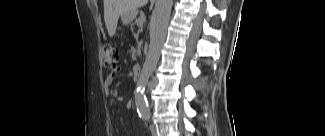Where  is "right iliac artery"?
I'll use <instances>...</instances> for the list:
<instances>
[{
	"instance_id": "82829eb1",
	"label": "right iliac artery",
	"mask_w": 325,
	"mask_h": 136,
	"mask_svg": "<svg viewBox=\"0 0 325 136\" xmlns=\"http://www.w3.org/2000/svg\"><path fill=\"white\" fill-rule=\"evenodd\" d=\"M139 116H140V118H142V119H146V116H145V115H141V114H139Z\"/></svg>"
}]
</instances>
